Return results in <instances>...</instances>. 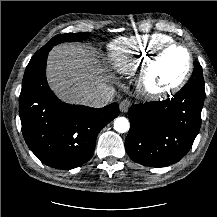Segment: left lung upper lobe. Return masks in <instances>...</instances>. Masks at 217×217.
<instances>
[{"label": "left lung upper lobe", "mask_w": 217, "mask_h": 217, "mask_svg": "<svg viewBox=\"0 0 217 217\" xmlns=\"http://www.w3.org/2000/svg\"><path fill=\"white\" fill-rule=\"evenodd\" d=\"M189 82H193L197 84L199 87L204 89V79H203L202 67L197 62H195V68L193 70V73L191 75Z\"/></svg>", "instance_id": "5c2ea615"}]
</instances>
